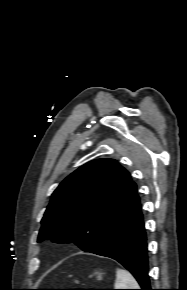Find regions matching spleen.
I'll list each match as a JSON object with an SVG mask.
<instances>
[{
	"instance_id": "3e777b00",
	"label": "spleen",
	"mask_w": 187,
	"mask_h": 290,
	"mask_svg": "<svg viewBox=\"0 0 187 290\" xmlns=\"http://www.w3.org/2000/svg\"><path fill=\"white\" fill-rule=\"evenodd\" d=\"M115 289H139L135 278L124 269L116 270Z\"/></svg>"
}]
</instances>
